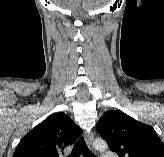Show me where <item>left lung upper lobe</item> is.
<instances>
[{
  "label": "left lung upper lobe",
  "mask_w": 164,
  "mask_h": 157,
  "mask_svg": "<svg viewBox=\"0 0 164 157\" xmlns=\"http://www.w3.org/2000/svg\"><path fill=\"white\" fill-rule=\"evenodd\" d=\"M97 129L119 157H164V144L155 130L122 111H107Z\"/></svg>",
  "instance_id": "obj_1"
}]
</instances>
